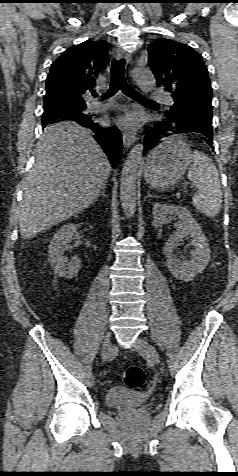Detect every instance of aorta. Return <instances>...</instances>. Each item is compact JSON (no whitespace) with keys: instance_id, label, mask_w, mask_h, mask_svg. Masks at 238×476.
Wrapping results in <instances>:
<instances>
[{"instance_id":"aorta-1","label":"aorta","mask_w":238,"mask_h":476,"mask_svg":"<svg viewBox=\"0 0 238 476\" xmlns=\"http://www.w3.org/2000/svg\"><path fill=\"white\" fill-rule=\"evenodd\" d=\"M133 78L139 88L144 92H150L156 80L151 71L146 69H135ZM142 143L136 144L129 152L122 168L120 180V200L125 216L132 218L136 210V179L137 170L143 159Z\"/></svg>"}]
</instances>
